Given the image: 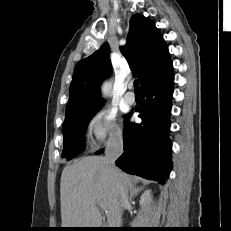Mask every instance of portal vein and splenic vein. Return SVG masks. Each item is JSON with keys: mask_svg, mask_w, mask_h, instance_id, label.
I'll list each match as a JSON object with an SVG mask.
<instances>
[{"mask_svg": "<svg viewBox=\"0 0 231 231\" xmlns=\"http://www.w3.org/2000/svg\"><path fill=\"white\" fill-rule=\"evenodd\" d=\"M99 206H100V208H102L103 209V206L99 203Z\"/></svg>", "mask_w": 231, "mask_h": 231, "instance_id": "1", "label": "portal vein and splenic vein"}]
</instances>
